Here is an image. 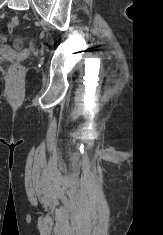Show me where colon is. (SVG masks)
I'll return each mask as SVG.
<instances>
[{"mask_svg": "<svg viewBox=\"0 0 163 235\" xmlns=\"http://www.w3.org/2000/svg\"><path fill=\"white\" fill-rule=\"evenodd\" d=\"M19 25V18L18 17H12L10 21L7 24V28L10 32L14 31L17 26ZM20 72V67L18 65H14L12 68L13 74H18Z\"/></svg>", "mask_w": 163, "mask_h": 235, "instance_id": "1", "label": "colon"}]
</instances>
